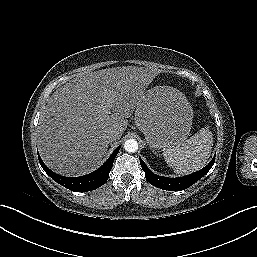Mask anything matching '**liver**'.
Wrapping results in <instances>:
<instances>
[{"label":"liver","instance_id":"1","mask_svg":"<svg viewBox=\"0 0 257 257\" xmlns=\"http://www.w3.org/2000/svg\"><path fill=\"white\" fill-rule=\"evenodd\" d=\"M156 68L135 66L81 73L58 88L48 100L37 130L45 164L58 174L81 176L105 156L114 131L119 140ZM110 110L112 114H110Z\"/></svg>","mask_w":257,"mask_h":257}]
</instances>
